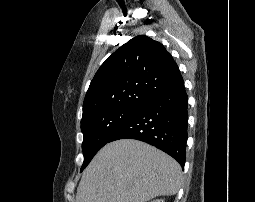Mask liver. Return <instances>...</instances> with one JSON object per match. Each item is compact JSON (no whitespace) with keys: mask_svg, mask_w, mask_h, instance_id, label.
<instances>
[{"mask_svg":"<svg viewBox=\"0 0 255 202\" xmlns=\"http://www.w3.org/2000/svg\"><path fill=\"white\" fill-rule=\"evenodd\" d=\"M180 165L159 149L134 139L105 145L85 169L76 202H147L175 195Z\"/></svg>","mask_w":255,"mask_h":202,"instance_id":"1","label":"liver"}]
</instances>
